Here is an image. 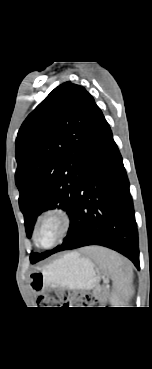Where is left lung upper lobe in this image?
I'll return each instance as SVG.
<instances>
[{
	"instance_id": "left-lung-upper-lobe-1",
	"label": "left lung upper lobe",
	"mask_w": 152,
	"mask_h": 369,
	"mask_svg": "<svg viewBox=\"0 0 152 369\" xmlns=\"http://www.w3.org/2000/svg\"><path fill=\"white\" fill-rule=\"evenodd\" d=\"M100 112L84 87L68 81L56 87L23 122L16 139L15 181L28 238L37 216L56 207L67 211L71 229L83 177L82 158ZM58 247L32 253L31 263L50 256Z\"/></svg>"
}]
</instances>
